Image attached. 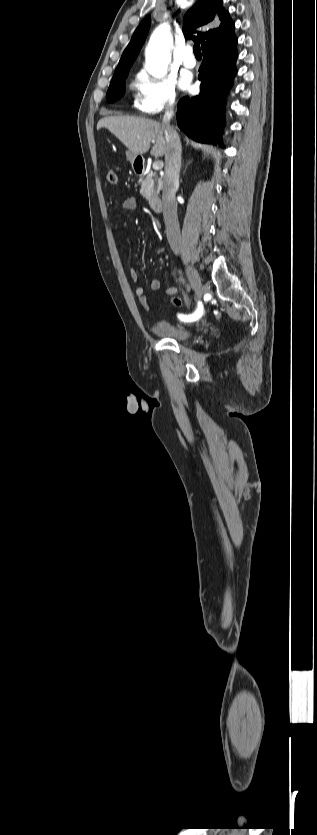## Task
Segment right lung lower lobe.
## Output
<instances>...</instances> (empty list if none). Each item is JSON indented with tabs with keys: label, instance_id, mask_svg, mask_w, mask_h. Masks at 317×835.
Segmentation results:
<instances>
[{
	"label": "right lung lower lobe",
	"instance_id": "obj_1",
	"mask_svg": "<svg viewBox=\"0 0 317 835\" xmlns=\"http://www.w3.org/2000/svg\"><path fill=\"white\" fill-rule=\"evenodd\" d=\"M236 44L233 33L202 48L204 60L198 76L202 81L201 92L191 99L184 97L178 104V126L196 141L217 143L221 140L226 94L236 74Z\"/></svg>",
	"mask_w": 317,
	"mask_h": 835
}]
</instances>
